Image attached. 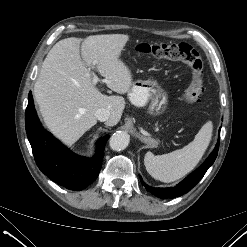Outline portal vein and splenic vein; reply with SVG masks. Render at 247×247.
Instances as JSON below:
<instances>
[{
	"label": "portal vein and splenic vein",
	"mask_w": 247,
	"mask_h": 247,
	"mask_svg": "<svg viewBox=\"0 0 247 247\" xmlns=\"http://www.w3.org/2000/svg\"><path fill=\"white\" fill-rule=\"evenodd\" d=\"M100 81V79L95 75V73L93 74V84L96 85L97 82ZM103 82H106L105 79L102 80Z\"/></svg>",
	"instance_id": "portal-vein-and-splenic-vein-1"
}]
</instances>
